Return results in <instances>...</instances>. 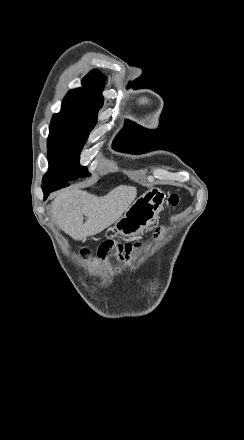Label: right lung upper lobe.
I'll return each mask as SVG.
<instances>
[{"mask_svg":"<svg viewBox=\"0 0 244 440\" xmlns=\"http://www.w3.org/2000/svg\"><path fill=\"white\" fill-rule=\"evenodd\" d=\"M105 78L98 71H91L82 81L84 88L71 90L63 100L62 106L99 110L103 104L101 91Z\"/></svg>","mask_w":244,"mask_h":440,"instance_id":"obj_1","label":"right lung upper lobe"}]
</instances>
